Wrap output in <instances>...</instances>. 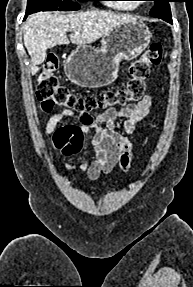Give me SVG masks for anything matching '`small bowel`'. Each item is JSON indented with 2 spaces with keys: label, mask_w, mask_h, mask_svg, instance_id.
I'll return each mask as SVG.
<instances>
[{
  "label": "small bowel",
  "mask_w": 193,
  "mask_h": 287,
  "mask_svg": "<svg viewBox=\"0 0 193 287\" xmlns=\"http://www.w3.org/2000/svg\"><path fill=\"white\" fill-rule=\"evenodd\" d=\"M151 105V95L147 94L138 103L128 104L119 111L115 108L107 110L90 127L64 122L74 117L72 111L64 110L48 121L44 133L52 134L53 147L61 156H85V150L81 149L86 145V135L91 133L93 157L81 163L63 162L62 165L68 173L83 171L90 179L96 180L109 174L116 166L123 171L130 168L133 144L128 136L142 128V121L148 116ZM117 117L123 119L120 130L114 122Z\"/></svg>",
  "instance_id": "obj_1"
}]
</instances>
